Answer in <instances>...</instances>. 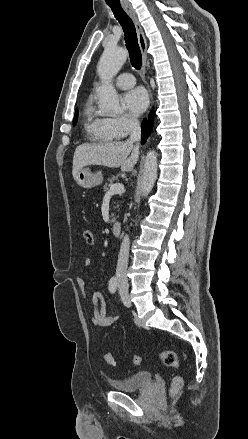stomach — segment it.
I'll use <instances>...</instances> for the list:
<instances>
[{"label":"stomach","mask_w":248,"mask_h":439,"mask_svg":"<svg viewBox=\"0 0 248 439\" xmlns=\"http://www.w3.org/2000/svg\"><path fill=\"white\" fill-rule=\"evenodd\" d=\"M76 183L82 188H93L103 182V175L100 171L92 173L90 169L83 168L75 176Z\"/></svg>","instance_id":"1"}]
</instances>
